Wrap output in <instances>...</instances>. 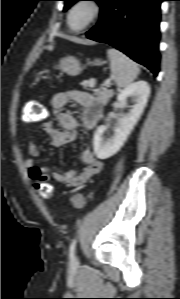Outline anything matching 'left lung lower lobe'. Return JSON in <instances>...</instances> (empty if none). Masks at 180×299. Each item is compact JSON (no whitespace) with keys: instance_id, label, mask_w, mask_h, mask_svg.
<instances>
[{"instance_id":"0a47b994","label":"left lung lower lobe","mask_w":180,"mask_h":299,"mask_svg":"<svg viewBox=\"0 0 180 299\" xmlns=\"http://www.w3.org/2000/svg\"><path fill=\"white\" fill-rule=\"evenodd\" d=\"M165 0H103L100 19L85 36L107 43L155 76L159 72L160 4Z\"/></svg>"}]
</instances>
